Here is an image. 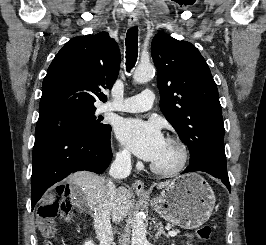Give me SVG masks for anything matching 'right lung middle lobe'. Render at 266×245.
Masks as SVG:
<instances>
[{"label":"right lung middle lobe","instance_id":"dd1d6c3e","mask_svg":"<svg viewBox=\"0 0 266 245\" xmlns=\"http://www.w3.org/2000/svg\"><path fill=\"white\" fill-rule=\"evenodd\" d=\"M95 110L96 108L70 111L51 119L38 121L35 136L64 126L98 140L105 139L110 135L111 126L101 124L100 120H96Z\"/></svg>","mask_w":266,"mask_h":245}]
</instances>
